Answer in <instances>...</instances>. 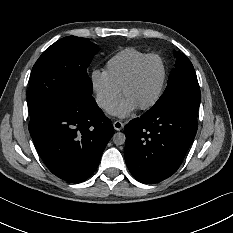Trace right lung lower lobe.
<instances>
[{"label": "right lung lower lobe", "instance_id": "obj_1", "mask_svg": "<svg viewBox=\"0 0 233 233\" xmlns=\"http://www.w3.org/2000/svg\"><path fill=\"white\" fill-rule=\"evenodd\" d=\"M113 125L87 93H75L30 119L29 132L48 169L71 183L89 178L113 135Z\"/></svg>", "mask_w": 233, "mask_h": 233}]
</instances>
